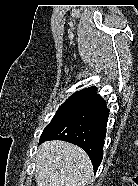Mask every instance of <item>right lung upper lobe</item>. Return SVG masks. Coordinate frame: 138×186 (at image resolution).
<instances>
[{"label":"right lung upper lobe","instance_id":"right-lung-upper-lobe-1","mask_svg":"<svg viewBox=\"0 0 138 186\" xmlns=\"http://www.w3.org/2000/svg\"><path fill=\"white\" fill-rule=\"evenodd\" d=\"M84 90L96 91V87H90V88H86Z\"/></svg>","mask_w":138,"mask_h":186}]
</instances>
